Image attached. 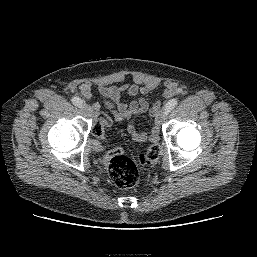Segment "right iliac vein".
<instances>
[{
	"label": "right iliac vein",
	"mask_w": 257,
	"mask_h": 257,
	"mask_svg": "<svg viewBox=\"0 0 257 257\" xmlns=\"http://www.w3.org/2000/svg\"><path fill=\"white\" fill-rule=\"evenodd\" d=\"M81 111L87 117L91 116V114H92V110H91V108L87 104H83L81 106Z\"/></svg>",
	"instance_id": "right-iliac-vein-1"
}]
</instances>
